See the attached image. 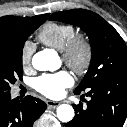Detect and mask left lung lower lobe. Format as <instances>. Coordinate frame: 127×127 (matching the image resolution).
<instances>
[{"label":"left lung lower lobe","mask_w":127,"mask_h":127,"mask_svg":"<svg viewBox=\"0 0 127 127\" xmlns=\"http://www.w3.org/2000/svg\"><path fill=\"white\" fill-rule=\"evenodd\" d=\"M87 108L73 105L76 111L66 127H122L127 117V86L103 84L90 90Z\"/></svg>","instance_id":"left-lung-lower-lobe-1"}]
</instances>
